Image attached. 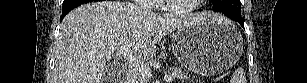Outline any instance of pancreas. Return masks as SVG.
Returning <instances> with one entry per match:
<instances>
[{"label": "pancreas", "mask_w": 307, "mask_h": 83, "mask_svg": "<svg viewBox=\"0 0 307 83\" xmlns=\"http://www.w3.org/2000/svg\"><path fill=\"white\" fill-rule=\"evenodd\" d=\"M171 75L173 76L174 79H179V80H190V79H192L193 80V78H191V74L181 70V68L172 69ZM136 80H137V83H146L147 82V78L143 77L141 74H139L137 76Z\"/></svg>", "instance_id": "pancreas-1"}]
</instances>
